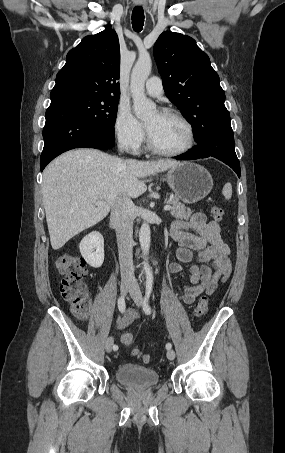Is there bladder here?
<instances>
[{
	"label": "bladder",
	"instance_id": "1",
	"mask_svg": "<svg viewBox=\"0 0 285 453\" xmlns=\"http://www.w3.org/2000/svg\"><path fill=\"white\" fill-rule=\"evenodd\" d=\"M118 382L136 389H146L156 386L160 376L155 369L132 363L119 365L115 369Z\"/></svg>",
	"mask_w": 285,
	"mask_h": 453
}]
</instances>
